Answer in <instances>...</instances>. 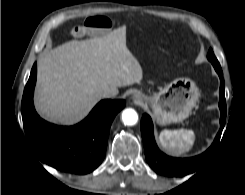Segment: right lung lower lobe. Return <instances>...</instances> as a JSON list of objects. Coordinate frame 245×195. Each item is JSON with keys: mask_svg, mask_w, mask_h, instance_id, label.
Here are the masks:
<instances>
[{"mask_svg": "<svg viewBox=\"0 0 245 195\" xmlns=\"http://www.w3.org/2000/svg\"><path fill=\"white\" fill-rule=\"evenodd\" d=\"M37 64L32 67L22 98V119L27 141L39 160L66 173L87 174L102 162L111 123L125 107L124 100H102L87 118L71 127L41 119L33 105Z\"/></svg>", "mask_w": 245, "mask_h": 195, "instance_id": "right-lung-lower-lobe-1", "label": "right lung lower lobe"}]
</instances>
